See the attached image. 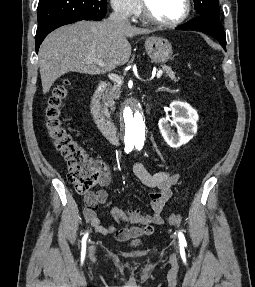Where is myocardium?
Wrapping results in <instances>:
<instances>
[{"mask_svg":"<svg viewBox=\"0 0 255 287\" xmlns=\"http://www.w3.org/2000/svg\"><path fill=\"white\" fill-rule=\"evenodd\" d=\"M148 33H154V32H148ZM168 33H174V32H168ZM131 39H136V38H131ZM147 39H150V38H147ZM162 39H172V38H162ZM131 48H135V47H131ZM147 48H150V47H147Z\"/></svg>","mask_w":255,"mask_h":287,"instance_id":"1","label":"myocardium"}]
</instances>
